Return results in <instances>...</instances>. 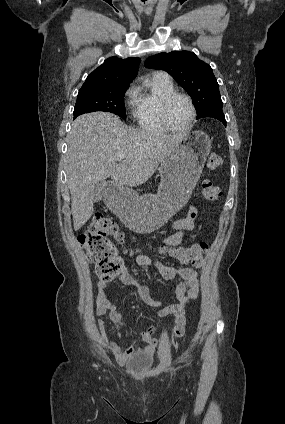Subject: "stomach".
Masks as SVG:
<instances>
[{
	"instance_id": "0dacf381",
	"label": "stomach",
	"mask_w": 285,
	"mask_h": 424,
	"mask_svg": "<svg viewBox=\"0 0 285 424\" xmlns=\"http://www.w3.org/2000/svg\"><path fill=\"white\" fill-rule=\"evenodd\" d=\"M211 149L203 132L186 136L162 161L157 194L116 191L108 206L130 229L149 233L162 227L189 200Z\"/></svg>"
}]
</instances>
